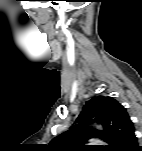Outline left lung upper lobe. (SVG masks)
Masks as SVG:
<instances>
[{"label":"left lung upper lobe","instance_id":"left-lung-upper-lobe-1","mask_svg":"<svg viewBox=\"0 0 142 151\" xmlns=\"http://www.w3.org/2000/svg\"><path fill=\"white\" fill-rule=\"evenodd\" d=\"M98 122L104 131H98L88 124ZM133 123L126 109L114 98L97 96L88 100L75 124L66 132L54 138L49 146L55 151H73L85 148L84 142L101 138L108 143L104 150L111 151L120 139L131 129Z\"/></svg>","mask_w":142,"mask_h":151}]
</instances>
